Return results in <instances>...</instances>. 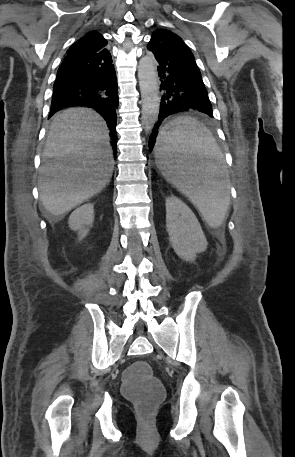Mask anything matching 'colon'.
I'll return each instance as SVG.
<instances>
[{"label":"colon","mask_w":295,"mask_h":457,"mask_svg":"<svg viewBox=\"0 0 295 457\" xmlns=\"http://www.w3.org/2000/svg\"><path fill=\"white\" fill-rule=\"evenodd\" d=\"M120 386L144 419L153 414L163 394L160 382L154 377L151 363H130Z\"/></svg>","instance_id":"colon-1"}]
</instances>
